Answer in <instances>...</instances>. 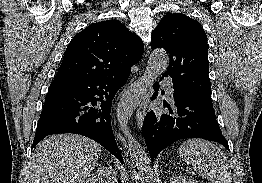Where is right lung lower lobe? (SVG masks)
I'll use <instances>...</instances> for the list:
<instances>
[{"label": "right lung lower lobe", "mask_w": 262, "mask_h": 183, "mask_svg": "<svg viewBox=\"0 0 262 183\" xmlns=\"http://www.w3.org/2000/svg\"><path fill=\"white\" fill-rule=\"evenodd\" d=\"M129 74L130 70L117 76L51 83L31 148L50 134L75 133L100 143L123 163L110 111L115 94Z\"/></svg>", "instance_id": "obj_1"}]
</instances>
